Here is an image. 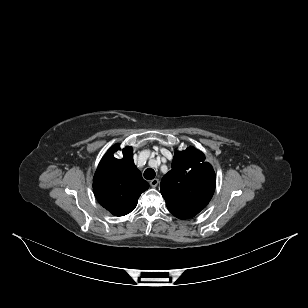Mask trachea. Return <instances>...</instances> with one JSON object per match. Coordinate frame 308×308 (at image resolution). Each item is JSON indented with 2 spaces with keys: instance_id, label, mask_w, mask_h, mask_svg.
<instances>
[{
  "instance_id": "trachea-1",
  "label": "trachea",
  "mask_w": 308,
  "mask_h": 308,
  "mask_svg": "<svg viewBox=\"0 0 308 308\" xmlns=\"http://www.w3.org/2000/svg\"><path fill=\"white\" fill-rule=\"evenodd\" d=\"M156 173L152 168H148L144 171V178L147 180H152L155 177Z\"/></svg>"
}]
</instances>
